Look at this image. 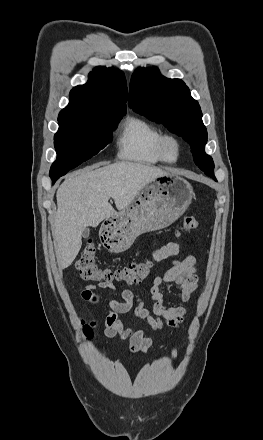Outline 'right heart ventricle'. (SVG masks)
<instances>
[{
    "mask_svg": "<svg viewBox=\"0 0 263 440\" xmlns=\"http://www.w3.org/2000/svg\"><path fill=\"white\" fill-rule=\"evenodd\" d=\"M161 130L146 119L129 116L122 124L117 139L120 159L146 164L163 162L158 151Z\"/></svg>",
    "mask_w": 263,
    "mask_h": 440,
    "instance_id": "right-heart-ventricle-1",
    "label": "right heart ventricle"
}]
</instances>
